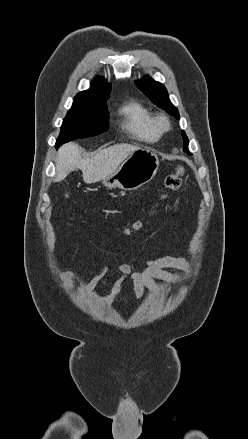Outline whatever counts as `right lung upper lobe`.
<instances>
[{"instance_id":"right-lung-upper-lobe-1","label":"right lung upper lobe","mask_w":248,"mask_h":439,"mask_svg":"<svg viewBox=\"0 0 248 439\" xmlns=\"http://www.w3.org/2000/svg\"><path fill=\"white\" fill-rule=\"evenodd\" d=\"M111 90V85L104 79H94L91 87L86 90L79 92L73 103L78 104H95L106 106V101L109 98ZM107 107V106H106Z\"/></svg>"}]
</instances>
